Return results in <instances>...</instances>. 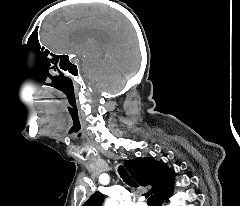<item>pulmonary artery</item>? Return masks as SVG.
Wrapping results in <instances>:
<instances>
[{"label":"pulmonary artery","mask_w":240,"mask_h":206,"mask_svg":"<svg viewBox=\"0 0 240 206\" xmlns=\"http://www.w3.org/2000/svg\"><path fill=\"white\" fill-rule=\"evenodd\" d=\"M136 206H146L144 203H137Z\"/></svg>","instance_id":"e3ab8cb5"}]
</instances>
